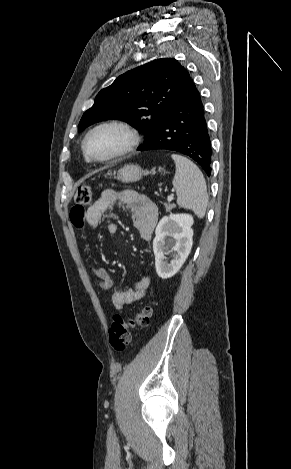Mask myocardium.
I'll list each match as a JSON object with an SVG mask.
<instances>
[{
	"mask_svg": "<svg viewBox=\"0 0 291 469\" xmlns=\"http://www.w3.org/2000/svg\"><path fill=\"white\" fill-rule=\"evenodd\" d=\"M106 127H114V128H118L122 130L127 136V141L120 150H118L117 152L113 153L110 156H107L104 158L93 157L88 151V141L93 133H95L99 129L106 128ZM139 143H140V136L135 128H133L129 123L125 121L113 119V120H107V121L101 122L97 124L96 126H94L93 128H91L84 137V140L82 143V150L87 160L91 162H96V163H107V162L114 161L116 159H119L129 154L139 145Z\"/></svg>",
	"mask_w": 291,
	"mask_h": 469,
	"instance_id": "obj_1",
	"label": "myocardium"
}]
</instances>
